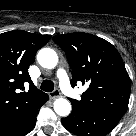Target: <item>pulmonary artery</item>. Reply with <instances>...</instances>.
I'll return each instance as SVG.
<instances>
[{
	"instance_id": "pulmonary-artery-1",
	"label": "pulmonary artery",
	"mask_w": 136,
	"mask_h": 136,
	"mask_svg": "<svg viewBox=\"0 0 136 136\" xmlns=\"http://www.w3.org/2000/svg\"><path fill=\"white\" fill-rule=\"evenodd\" d=\"M57 76L60 81V87L70 97H74L76 95L75 91L72 89L66 71L64 69H59L57 71Z\"/></svg>"
}]
</instances>
